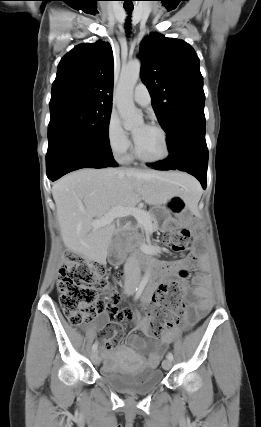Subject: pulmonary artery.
Listing matches in <instances>:
<instances>
[{
    "label": "pulmonary artery",
    "mask_w": 261,
    "mask_h": 427,
    "mask_svg": "<svg viewBox=\"0 0 261 427\" xmlns=\"http://www.w3.org/2000/svg\"><path fill=\"white\" fill-rule=\"evenodd\" d=\"M134 101L141 106H148L151 103L149 90L143 83H139L133 92Z\"/></svg>",
    "instance_id": "obj_1"
}]
</instances>
